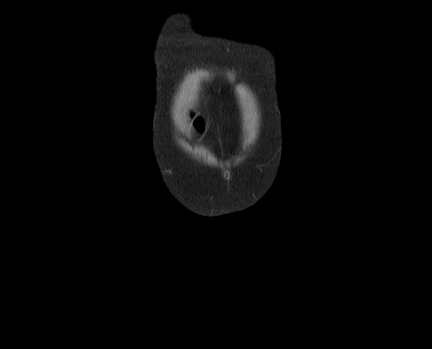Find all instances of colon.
Masks as SVG:
<instances>
[{
	"label": "colon",
	"mask_w": 432,
	"mask_h": 349,
	"mask_svg": "<svg viewBox=\"0 0 432 349\" xmlns=\"http://www.w3.org/2000/svg\"><path fill=\"white\" fill-rule=\"evenodd\" d=\"M197 124H200V121H197Z\"/></svg>",
	"instance_id": "colon-1"
}]
</instances>
